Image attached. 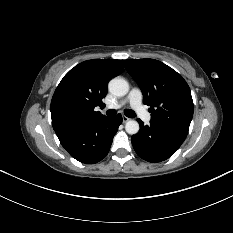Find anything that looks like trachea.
Instances as JSON below:
<instances>
[{
    "label": "trachea",
    "mask_w": 233,
    "mask_h": 233,
    "mask_svg": "<svg viewBox=\"0 0 233 233\" xmlns=\"http://www.w3.org/2000/svg\"><path fill=\"white\" fill-rule=\"evenodd\" d=\"M116 113V110L110 109L107 111V116H114ZM124 114L129 118H134L136 116L135 112L131 109H125Z\"/></svg>",
    "instance_id": "1"
}]
</instances>
